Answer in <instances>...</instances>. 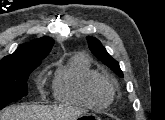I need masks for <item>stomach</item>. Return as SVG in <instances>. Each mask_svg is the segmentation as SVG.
<instances>
[{"label":"stomach","mask_w":165,"mask_h":120,"mask_svg":"<svg viewBox=\"0 0 165 120\" xmlns=\"http://www.w3.org/2000/svg\"><path fill=\"white\" fill-rule=\"evenodd\" d=\"M90 117H93L94 119H98L99 120V117H97V115L93 114V113H82L81 115H79L76 119H82V120H85V119H90Z\"/></svg>","instance_id":"stomach-1"}]
</instances>
